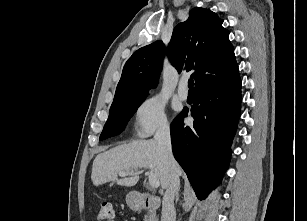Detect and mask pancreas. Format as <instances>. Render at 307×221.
Wrapping results in <instances>:
<instances>
[{
  "mask_svg": "<svg viewBox=\"0 0 307 221\" xmlns=\"http://www.w3.org/2000/svg\"><path fill=\"white\" fill-rule=\"evenodd\" d=\"M144 221H158V219L156 218V216L154 214L148 213L145 216Z\"/></svg>",
  "mask_w": 307,
  "mask_h": 221,
  "instance_id": "pancreas-1",
  "label": "pancreas"
}]
</instances>
